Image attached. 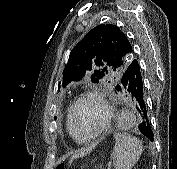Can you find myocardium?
I'll return each instance as SVG.
<instances>
[{
	"label": "myocardium",
	"mask_w": 177,
	"mask_h": 169,
	"mask_svg": "<svg viewBox=\"0 0 177 169\" xmlns=\"http://www.w3.org/2000/svg\"><path fill=\"white\" fill-rule=\"evenodd\" d=\"M86 99H95L99 103L100 107L103 110L104 118H103L102 124L96 131H94L93 133L89 135L82 136L79 134L77 130L75 119H76V113H77V109L79 105ZM111 119H112L111 108L108 102L106 101V99L104 98V96L97 90H87V91L80 93L71 106L70 124L72 127V131L74 135L76 136V138L81 141H91L97 138L98 136H100L101 134H103L109 128Z\"/></svg>",
	"instance_id": "f54148a6"
}]
</instances>
